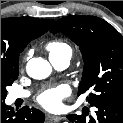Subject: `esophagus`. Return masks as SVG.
<instances>
[{"label":"esophagus","mask_w":123,"mask_h":123,"mask_svg":"<svg viewBox=\"0 0 123 123\" xmlns=\"http://www.w3.org/2000/svg\"><path fill=\"white\" fill-rule=\"evenodd\" d=\"M47 119L51 120L53 122H59V121L63 120L64 118L62 116L48 115Z\"/></svg>","instance_id":"34e87169"}]
</instances>
